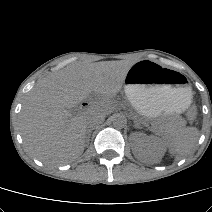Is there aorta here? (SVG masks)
I'll use <instances>...</instances> for the list:
<instances>
[{
	"label": "aorta",
	"mask_w": 212,
	"mask_h": 212,
	"mask_svg": "<svg viewBox=\"0 0 212 212\" xmlns=\"http://www.w3.org/2000/svg\"><path fill=\"white\" fill-rule=\"evenodd\" d=\"M112 122H113L114 127L123 128L127 124V119L122 114H116V115H114Z\"/></svg>",
	"instance_id": "aorta-1"
}]
</instances>
